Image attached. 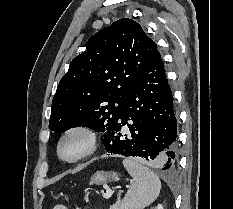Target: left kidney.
<instances>
[{
	"mask_svg": "<svg viewBox=\"0 0 233 209\" xmlns=\"http://www.w3.org/2000/svg\"><path fill=\"white\" fill-rule=\"evenodd\" d=\"M153 209H164V208H163V206L161 204H159L157 207H155Z\"/></svg>",
	"mask_w": 233,
	"mask_h": 209,
	"instance_id": "left-kidney-1",
	"label": "left kidney"
}]
</instances>
